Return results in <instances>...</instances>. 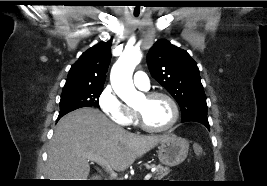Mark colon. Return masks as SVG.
Instances as JSON below:
<instances>
[{"label": "colon", "mask_w": 267, "mask_h": 186, "mask_svg": "<svg viewBox=\"0 0 267 186\" xmlns=\"http://www.w3.org/2000/svg\"><path fill=\"white\" fill-rule=\"evenodd\" d=\"M193 150L197 156H200L203 153V149H202L201 145H199V144H194Z\"/></svg>", "instance_id": "5ec220e1"}]
</instances>
